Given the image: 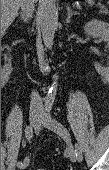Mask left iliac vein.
<instances>
[{
  "mask_svg": "<svg viewBox=\"0 0 109 170\" xmlns=\"http://www.w3.org/2000/svg\"><path fill=\"white\" fill-rule=\"evenodd\" d=\"M38 122L43 124L46 128L56 132L66 142L69 158L72 162H76L78 160L76 151L73 147L71 136L67 128L60 122L49 118L46 114L41 116Z\"/></svg>",
  "mask_w": 109,
  "mask_h": 170,
  "instance_id": "obj_1",
  "label": "left iliac vein"
}]
</instances>
